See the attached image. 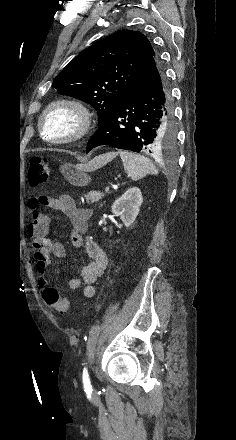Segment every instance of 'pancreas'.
<instances>
[{
  "mask_svg": "<svg viewBox=\"0 0 236 440\" xmlns=\"http://www.w3.org/2000/svg\"><path fill=\"white\" fill-rule=\"evenodd\" d=\"M103 197V193L100 191H90L85 195L87 203H96L101 200Z\"/></svg>",
  "mask_w": 236,
  "mask_h": 440,
  "instance_id": "1",
  "label": "pancreas"
}]
</instances>
